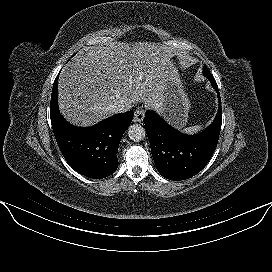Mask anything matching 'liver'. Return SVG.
<instances>
[{
	"instance_id": "6515ba94",
	"label": "liver",
	"mask_w": 272,
	"mask_h": 272,
	"mask_svg": "<svg viewBox=\"0 0 272 272\" xmlns=\"http://www.w3.org/2000/svg\"><path fill=\"white\" fill-rule=\"evenodd\" d=\"M173 53L149 42H110L69 61L59 76V109L88 127L114 114L113 106L142 101L159 110L165 68Z\"/></svg>"
}]
</instances>
